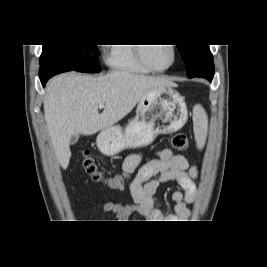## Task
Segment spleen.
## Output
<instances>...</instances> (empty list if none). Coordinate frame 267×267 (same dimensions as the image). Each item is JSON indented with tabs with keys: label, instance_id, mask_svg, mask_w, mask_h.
I'll return each instance as SVG.
<instances>
[{
	"label": "spleen",
	"instance_id": "obj_1",
	"mask_svg": "<svg viewBox=\"0 0 267 267\" xmlns=\"http://www.w3.org/2000/svg\"><path fill=\"white\" fill-rule=\"evenodd\" d=\"M207 117L200 112L194 119V134L198 148L204 146L207 135Z\"/></svg>",
	"mask_w": 267,
	"mask_h": 267
}]
</instances>
